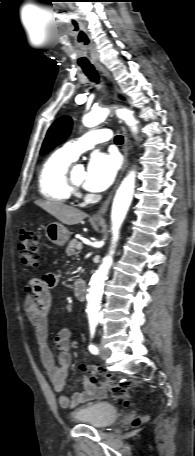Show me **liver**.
Listing matches in <instances>:
<instances>
[{
	"label": "liver",
	"mask_w": 195,
	"mask_h": 456,
	"mask_svg": "<svg viewBox=\"0 0 195 456\" xmlns=\"http://www.w3.org/2000/svg\"><path fill=\"white\" fill-rule=\"evenodd\" d=\"M35 204L66 225H76L87 217L85 212L58 201L38 200Z\"/></svg>",
	"instance_id": "liver-1"
}]
</instances>
